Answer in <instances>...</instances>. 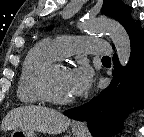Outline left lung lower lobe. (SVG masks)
<instances>
[{
  "mask_svg": "<svg viewBox=\"0 0 144 137\" xmlns=\"http://www.w3.org/2000/svg\"><path fill=\"white\" fill-rule=\"evenodd\" d=\"M130 60L121 68L113 57V80L88 103L63 112L67 117L87 121L94 137H106L122 128L121 117L131 107L144 108V29L139 24L129 32Z\"/></svg>",
  "mask_w": 144,
  "mask_h": 137,
  "instance_id": "1",
  "label": "left lung lower lobe"
}]
</instances>
